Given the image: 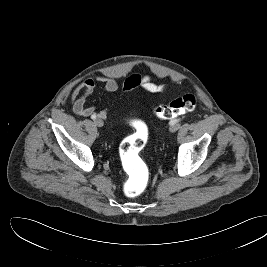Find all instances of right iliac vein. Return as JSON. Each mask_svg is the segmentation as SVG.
<instances>
[{
  "instance_id": "63e3f726",
  "label": "right iliac vein",
  "mask_w": 267,
  "mask_h": 267,
  "mask_svg": "<svg viewBox=\"0 0 267 267\" xmlns=\"http://www.w3.org/2000/svg\"><path fill=\"white\" fill-rule=\"evenodd\" d=\"M94 124L97 126V127H102L104 125V122L102 119L100 118H97L94 120Z\"/></svg>"
}]
</instances>
